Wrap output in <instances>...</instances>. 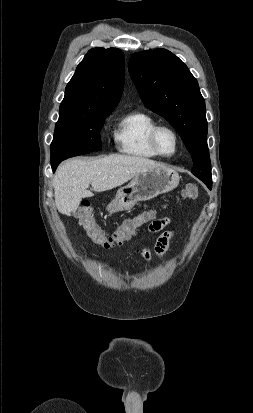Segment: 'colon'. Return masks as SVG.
Wrapping results in <instances>:
<instances>
[{
    "instance_id": "colon-1",
    "label": "colon",
    "mask_w": 253,
    "mask_h": 413,
    "mask_svg": "<svg viewBox=\"0 0 253 413\" xmlns=\"http://www.w3.org/2000/svg\"><path fill=\"white\" fill-rule=\"evenodd\" d=\"M198 194L199 188L195 183L186 184L182 191V196L186 199H196ZM74 215L89 240L104 249H112L122 245L136 234L140 226L149 222L153 217L152 213L146 212L134 218L126 219L113 234L106 235L95 221L91 205L87 203L81 204L75 210Z\"/></svg>"
}]
</instances>
